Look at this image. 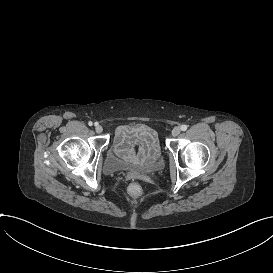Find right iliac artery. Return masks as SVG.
Returning <instances> with one entry per match:
<instances>
[{
	"label": "right iliac artery",
	"instance_id": "82829eb1",
	"mask_svg": "<svg viewBox=\"0 0 273 273\" xmlns=\"http://www.w3.org/2000/svg\"><path fill=\"white\" fill-rule=\"evenodd\" d=\"M88 125H89V126H92V125H93V123L90 121V122L88 123Z\"/></svg>",
	"mask_w": 273,
	"mask_h": 273
}]
</instances>
